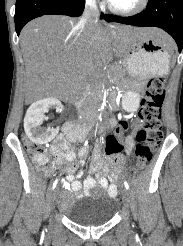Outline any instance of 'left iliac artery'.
I'll return each mask as SVG.
<instances>
[{
  "instance_id": "obj_1",
  "label": "left iliac artery",
  "mask_w": 183,
  "mask_h": 246,
  "mask_svg": "<svg viewBox=\"0 0 183 246\" xmlns=\"http://www.w3.org/2000/svg\"><path fill=\"white\" fill-rule=\"evenodd\" d=\"M124 186H125V188L127 189V190H129V184H128V182L125 180L124 181Z\"/></svg>"
}]
</instances>
